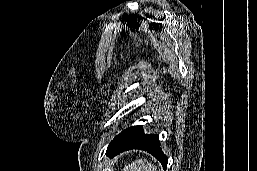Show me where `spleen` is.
Segmentation results:
<instances>
[{"instance_id": "3e777b00", "label": "spleen", "mask_w": 257, "mask_h": 171, "mask_svg": "<svg viewBox=\"0 0 257 171\" xmlns=\"http://www.w3.org/2000/svg\"><path fill=\"white\" fill-rule=\"evenodd\" d=\"M122 171H157V167L145 159H138L124 166Z\"/></svg>"}]
</instances>
